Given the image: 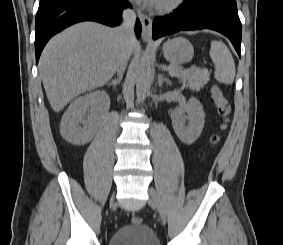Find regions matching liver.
<instances>
[{
    "instance_id": "1",
    "label": "liver",
    "mask_w": 283,
    "mask_h": 245,
    "mask_svg": "<svg viewBox=\"0 0 283 245\" xmlns=\"http://www.w3.org/2000/svg\"><path fill=\"white\" fill-rule=\"evenodd\" d=\"M123 48L116 29L94 22L78 23L54 36L39 61L52 109L59 112L78 95L105 85ZM135 48L134 40L126 46L129 55Z\"/></svg>"
}]
</instances>
